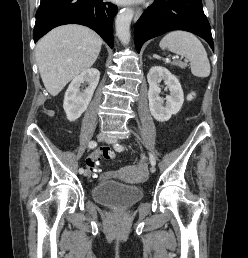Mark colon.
I'll list each match as a JSON object with an SVG mask.
<instances>
[{"label": "colon", "mask_w": 248, "mask_h": 258, "mask_svg": "<svg viewBox=\"0 0 248 258\" xmlns=\"http://www.w3.org/2000/svg\"><path fill=\"white\" fill-rule=\"evenodd\" d=\"M113 152L110 150L108 144H99L97 151H93L91 155L85 158V172L86 175H99L101 156L105 158L113 157Z\"/></svg>", "instance_id": "obj_1"}]
</instances>
